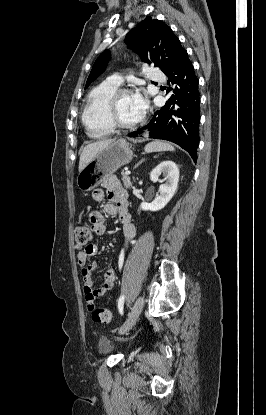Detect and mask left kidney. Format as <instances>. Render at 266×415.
<instances>
[{
	"label": "left kidney",
	"instance_id": "left-kidney-1",
	"mask_svg": "<svg viewBox=\"0 0 266 415\" xmlns=\"http://www.w3.org/2000/svg\"><path fill=\"white\" fill-rule=\"evenodd\" d=\"M163 175L166 182L159 187V194L150 203H141L140 208L144 211H159L163 209L168 202L174 196L178 181H179V169L173 161H163L157 165L150 173V179L152 182L159 180V177Z\"/></svg>",
	"mask_w": 266,
	"mask_h": 415
}]
</instances>
